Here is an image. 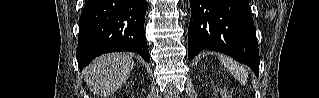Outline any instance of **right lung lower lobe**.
<instances>
[{
    "label": "right lung lower lobe",
    "mask_w": 319,
    "mask_h": 98,
    "mask_svg": "<svg viewBox=\"0 0 319 98\" xmlns=\"http://www.w3.org/2000/svg\"><path fill=\"white\" fill-rule=\"evenodd\" d=\"M145 14L146 0H86L79 25V68L97 56L117 51L138 53L149 63Z\"/></svg>",
    "instance_id": "1"
}]
</instances>
